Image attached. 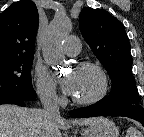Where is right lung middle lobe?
I'll list each match as a JSON object with an SVG mask.
<instances>
[{
  "instance_id": "dd1d6c3e",
  "label": "right lung middle lobe",
  "mask_w": 144,
  "mask_h": 137,
  "mask_svg": "<svg viewBox=\"0 0 144 137\" xmlns=\"http://www.w3.org/2000/svg\"><path fill=\"white\" fill-rule=\"evenodd\" d=\"M33 56L0 63V97H15L26 101L36 99L31 82Z\"/></svg>"
}]
</instances>
